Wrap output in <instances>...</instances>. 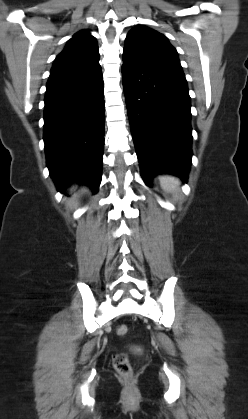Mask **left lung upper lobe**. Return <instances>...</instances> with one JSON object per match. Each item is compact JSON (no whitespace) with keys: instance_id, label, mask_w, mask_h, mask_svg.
<instances>
[{"instance_id":"5c2ea615","label":"left lung upper lobe","mask_w":248,"mask_h":419,"mask_svg":"<svg viewBox=\"0 0 248 419\" xmlns=\"http://www.w3.org/2000/svg\"><path fill=\"white\" fill-rule=\"evenodd\" d=\"M124 53L140 62L184 74L176 49L164 35L146 26H137L128 33Z\"/></svg>"}]
</instances>
